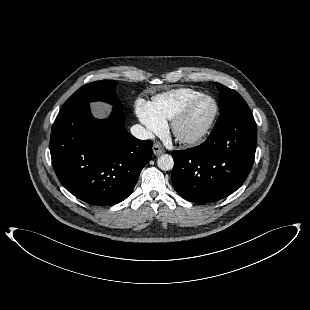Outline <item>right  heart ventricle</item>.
Instances as JSON below:
<instances>
[{"instance_id":"1","label":"right heart ventricle","mask_w":310,"mask_h":310,"mask_svg":"<svg viewBox=\"0 0 310 310\" xmlns=\"http://www.w3.org/2000/svg\"><path fill=\"white\" fill-rule=\"evenodd\" d=\"M201 94V92L190 88L173 89L155 95L149 105L152 111L166 122L172 120L190 100Z\"/></svg>"}]
</instances>
